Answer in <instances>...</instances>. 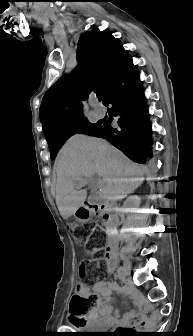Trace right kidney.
<instances>
[{
  "label": "right kidney",
  "mask_w": 193,
  "mask_h": 336,
  "mask_svg": "<svg viewBox=\"0 0 193 336\" xmlns=\"http://www.w3.org/2000/svg\"><path fill=\"white\" fill-rule=\"evenodd\" d=\"M140 202H141V198L135 195V196H130L129 198H127L124 205L126 207H137L140 205Z\"/></svg>",
  "instance_id": "right-kidney-1"
}]
</instances>
